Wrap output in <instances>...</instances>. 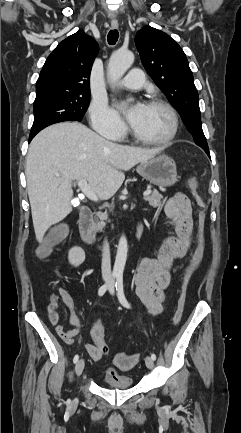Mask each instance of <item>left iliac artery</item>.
Returning a JSON list of instances; mask_svg holds the SVG:
<instances>
[{"mask_svg":"<svg viewBox=\"0 0 241 433\" xmlns=\"http://www.w3.org/2000/svg\"><path fill=\"white\" fill-rule=\"evenodd\" d=\"M116 290H117V295H118V299H119L120 303L126 308H131V306H130L129 302L127 301L125 294H124L123 277L121 275H118L116 278ZM151 358L153 360H156V355L152 354Z\"/></svg>","mask_w":241,"mask_h":433,"instance_id":"left-iliac-artery-1","label":"left iliac artery"}]
</instances>
